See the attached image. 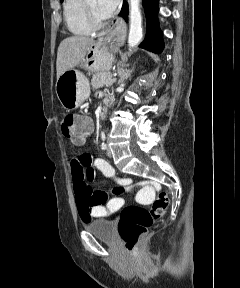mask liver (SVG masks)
Segmentation results:
<instances>
[{
  "instance_id": "1",
  "label": "liver",
  "mask_w": 240,
  "mask_h": 288,
  "mask_svg": "<svg viewBox=\"0 0 240 288\" xmlns=\"http://www.w3.org/2000/svg\"><path fill=\"white\" fill-rule=\"evenodd\" d=\"M95 41L89 37L71 36L65 38L58 47L57 52V79L67 70L73 69L84 59L89 47Z\"/></svg>"
}]
</instances>
